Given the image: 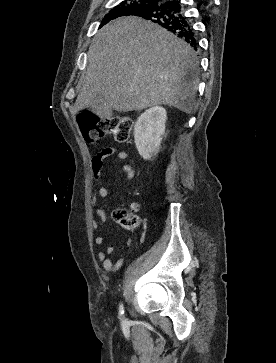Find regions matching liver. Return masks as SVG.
<instances>
[{
	"mask_svg": "<svg viewBox=\"0 0 276 363\" xmlns=\"http://www.w3.org/2000/svg\"><path fill=\"white\" fill-rule=\"evenodd\" d=\"M87 59L76 112L99 94L118 112L161 104L188 114L193 110L199 82L195 51L150 21L129 16L108 23L93 38Z\"/></svg>",
	"mask_w": 276,
	"mask_h": 363,
	"instance_id": "obj_1",
	"label": "liver"
}]
</instances>
